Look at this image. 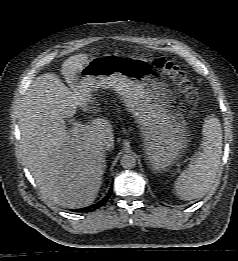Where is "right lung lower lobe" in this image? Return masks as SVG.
<instances>
[{
	"instance_id": "obj_1",
	"label": "right lung lower lobe",
	"mask_w": 238,
	"mask_h": 261,
	"mask_svg": "<svg viewBox=\"0 0 238 261\" xmlns=\"http://www.w3.org/2000/svg\"><path fill=\"white\" fill-rule=\"evenodd\" d=\"M111 192H112V189H110L109 192L106 194V196L102 200H100L98 203L87 207L88 210H86L85 212H92V211L100 208L101 206H103L110 198Z\"/></svg>"
}]
</instances>
